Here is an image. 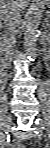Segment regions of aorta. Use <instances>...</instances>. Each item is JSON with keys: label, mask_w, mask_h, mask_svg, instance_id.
I'll return each mask as SVG.
<instances>
[{"label": "aorta", "mask_w": 50, "mask_h": 148, "mask_svg": "<svg viewBox=\"0 0 50 148\" xmlns=\"http://www.w3.org/2000/svg\"><path fill=\"white\" fill-rule=\"evenodd\" d=\"M42 9L39 5H33L28 13L25 31L24 48L30 58L36 57V45L39 34V25L41 22Z\"/></svg>", "instance_id": "obj_1"}]
</instances>
